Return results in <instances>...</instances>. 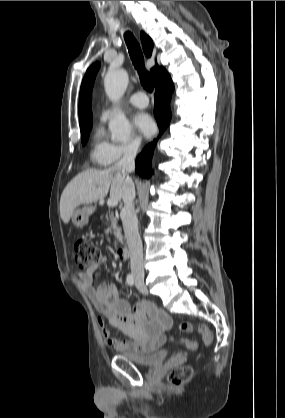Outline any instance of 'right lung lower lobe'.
<instances>
[{
    "label": "right lung lower lobe",
    "mask_w": 285,
    "mask_h": 418,
    "mask_svg": "<svg viewBox=\"0 0 285 418\" xmlns=\"http://www.w3.org/2000/svg\"><path fill=\"white\" fill-rule=\"evenodd\" d=\"M155 92L154 114L160 129V134L164 132L171 119L170 99L174 91V84L170 76L158 84ZM156 139L149 143L136 158V172L143 178L150 177L152 173L151 158L156 145Z\"/></svg>",
    "instance_id": "right-lung-lower-lobe-1"
}]
</instances>
